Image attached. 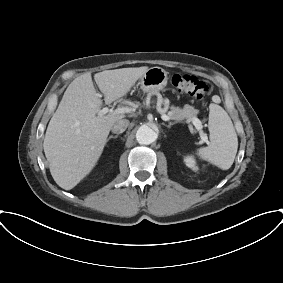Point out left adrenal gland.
<instances>
[{
    "instance_id": "1",
    "label": "left adrenal gland",
    "mask_w": 283,
    "mask_h": 283,
    "mask_svg": "<svg viewBox=\"0 0 283 283\" xmlns=\"http://www.w3.org/2000/svg\"><path fill=\"white\" fill-rule=\"evenodd\" d=\"M178 123L177 121L176 122H170L168 125H165L167 128H171L172 125Z\"/></svg>"
}]
</instances>
